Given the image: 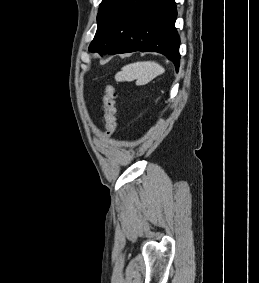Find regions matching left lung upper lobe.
I'll list each match as a JSON object with an SVG mask.
<instances>
[{"mask_svg":"<svg viewBox=\"0 0 259 283\" xmlns=\"http://www.w3.org/2000/svg\"><path fill=\"white\" fill-rule=\"evenodd\" d=\"M124 1L125 0H103L101 2L97 15L98 28L91 44L101 38Z\"/></svg>","mask_w":259,"mask_h":283,"instance_id":"obj_1","label":"left lung upper lobe"}]
</instances>
